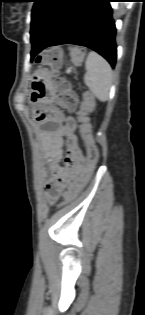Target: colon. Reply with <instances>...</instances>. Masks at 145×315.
Returning a JSON list of instances; mask_svg holds the SVG:
<instances>
[{
    "instance_id": "1",
    "label": "colon",
    "mask_w": 145,
    "mask_h": 315,
    "mask_svg": "<svg viewBox=\"0 0 145 315\" xmlns=\"http://www.w3.org/2000/svg\"><path fill=\"white\" fill-rule=\"evenodd\" d=\"M71 61L73 64L78 65L84 58V51L79 48H73L70 51ZM63 53L60 48H50L44 50L38 57L39 63L50 68H57L61 65ZM56 105L62 110H74L78 103L77 95L70 89L68 84L61 80L57 85ZM94 105V100L91 95L86 94L79 111V120L81 123L80 129L83 136L86 153H87V165L83 176L68 188L67 193L64 195V202L68 203L73 200L80 190L90 179L94 172L98 160L99 151L94 142V139L90 133V127L87 122L86 114Z\"/></svg>"
}]
</instances>
